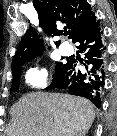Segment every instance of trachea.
Masks as SVG:
<instances>
[{"label":"trachea","mask_w":117,"mask_h":136,"mask_svg":"<svg viewBox=\"0 0 117 136\" xmlns=\"http://www.w3.org/2000/svg\"><path fill=\"white\" fill-rule=\"evenodd\" d=\"M69 34V31H65L64 35L67 36Z\"/></svg>","instance_id":"1"}]
</instances>
